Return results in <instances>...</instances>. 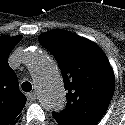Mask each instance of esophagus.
<instances>
[{"instance_id":"1","label":"esophagus","mask_w":125,"mask_h":125,"mask_svg":"<svg viewBox=\"0 0 125 125\" xmlns=\"http://www.w3.org/2000/svg\"><path fill=\"white\" fill-rule=\"evenodd\" d=\"M36 97H37L36 92H31V93H28V94H27L28 100H31V101L35 100Z\"/></svg>"}]
</instances>
